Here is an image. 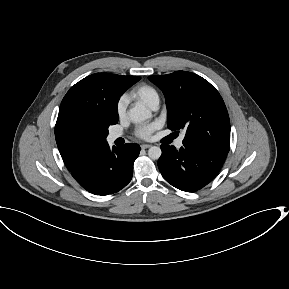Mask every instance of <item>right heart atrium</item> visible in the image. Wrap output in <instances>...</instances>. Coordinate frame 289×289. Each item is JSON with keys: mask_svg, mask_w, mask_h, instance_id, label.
<instances>
[{"mask_svg": "<svg viewBox=\"0 0 289 289\" xmlns=\"http://www.w3.org/2000/svg\"><path fill=\"white\" fill-rule=\"evenodd\" d=\"M127 106H128V98L126 96L120 97L116 104V112L119 117L125 116Z\"/></svg>", "mask_w": 289, "mask_h": 289, "instance_id": "1", "label": "right heart atrium"}]
</instances>
